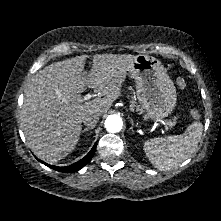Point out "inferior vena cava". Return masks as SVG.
<instances>
[{
  "instance_id": "602c4592",
  "label": "inferior vena cava",
  "mask_w": 221,
  "mask_h": 221,
  "mask_svg": "<svg viewBox=\"0 0 221 221\" xmlns=\"http://www.w3.org/2000/svg\"><path fill=\"white\" fill-rule=\"evenodd\" d=\"M99 120V115L96 113H87L82 117L83 123L88 127L96 126Z\"/></svg>"
}]
</instances>
